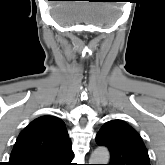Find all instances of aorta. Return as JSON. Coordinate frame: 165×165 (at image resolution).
<instances>
[{
    "instance_id": "obj_1",
    "label": "aorta",
    "mask_w": 165,
    "mask_h": 165,
    "mask_svg": "<svg viewBox=\"0 0 165 165\" xmlns=\"http://www.w3.org/2000/svg\"><path fill=\"white\" fill-rule=\"evenodd\" d=\"M110 159L109 151L106 147H98L90 157L89 164H108Z\"/></svg>"
}]
</instances>
